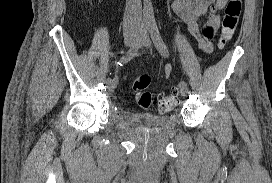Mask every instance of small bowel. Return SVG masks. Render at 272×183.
Returning <instances> with one entry per match:
<instances>
[{
    "label": "small bowel",
    "mask_w": 272,
    "mask_h": 183,
    "mask_svg": "<svg viewBox=\"0 0 272 183\" xmlns=\"http://www.w3.org/2000/svg\"><path fill=\"white\" fill-rule=\"evenodd\" d=\"M228 0H174L172 3L175 13L187 24L197 47L205 54L214 50L212 36H216V30L220 26L218 12L223 9ZM205 17V23L200 29L199 21ZM172 73V67H164L165 77Z\"/></svg>",
    "instance_id": "small-bowel-1"
}]
</instances>
